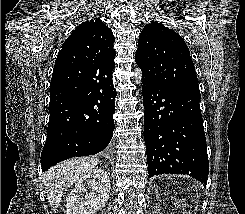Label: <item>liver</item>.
Instances as JSON below:
<instances>
[{
    "instance_id": "liver-1",
    "label": "liver",
    "mask_w": 245,
    "mask_h": 214,
    "mask_svg": "<svg viewBox=\"0 0 245 214\" xmlns=\"http://www.w3.org/2000/svg\"><path fill=\"white\" fill-rule=\"evenodd\" d=\"M98 163L97 157L76 158L61 162L44 173L42 181L52 211L58 209L65 191Z\"/></svg>"
}]
</instances>
